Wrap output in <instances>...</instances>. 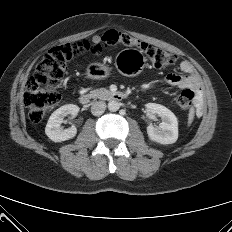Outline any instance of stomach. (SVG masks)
Returning a JSON list of instances; mask_svg holds the SVG:
<instances>
[{
    "mask_svg": "<svg viewBox=\"0 0 232 232\" xmlns=\"http://www.w3.org/2000/svg\"><path fill=\"white\" fill-rule=\"evenodd\" d=\"M146 58L137 49L121 50L115 58V65L118 71L127 76L139 74L145 67ZM111 74V68L103 63H91L86 68V75L91 79H105Z\"/></svg>",
    "mask_w": 232,
    "mask_h": 232,
    "instance_id": "0dacf381",
    "label": "stomach"
}]
</instances>
